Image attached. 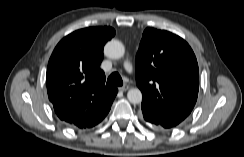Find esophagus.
<instances>
[{"label":"esophagus","instance_id":"34e87169","mask_svg":"<svg viewBox=\"0 0 244 157\" xmlns=\"http://www.w3.org/2000/svg\"><path fill=\"white\" fill-rule=\"evenodd\" d=\"M118 89H119V91H127L129 89V86L124 85V86L119 87Z\"/></svg>","mask_w":244,"mask_h":157}]
</instances>
